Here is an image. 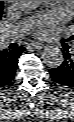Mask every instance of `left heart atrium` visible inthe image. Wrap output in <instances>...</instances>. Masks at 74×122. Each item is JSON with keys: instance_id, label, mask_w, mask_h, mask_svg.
I'll list each match as a JSON object with an SVG mask.
<instances>
[{"instance_id": "1", "label": "left heart atrium", "mask_w": 74, "mask_h": 122, "mask_svg": "<svg viewBox=\"0 0 74 122\" xmlns=\"http://www.w3.org/2000/svg\"><path fill=\"white\" fill-rule=\"evenodd\" d=\"M62 22L63 17L59 13L53 12L45 14L41 16V18L34 25L35 34L38 36H45L52 33L60 27Z\"/></svg>"}]
</instances>
